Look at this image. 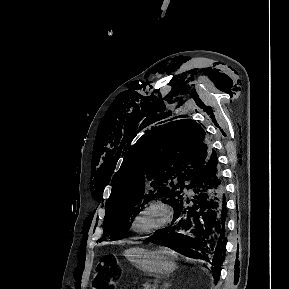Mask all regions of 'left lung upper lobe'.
Returning a JSON list of instances; mask_svg holds the SVG:
<instances>
[{
    "mask_svg": "<svg viewBox=\"0 0 289 289\" xmlns=\"http://www.w3.org/2000/svg\"><path fill=\"white\" fill-rule=\"evenodd\" d=\"M214 153L204 129L190 119L169 122L143 135L112 179L99 241L122 239L130 220L151 199L161 197L173 206L186 181H192Z\"/></svg>",
    "mask_w": 289,
    "mask_h": 289,
    "instance_id": "5c2ea615",
    "label": "left lung upper lobe"
}]
</instances>
